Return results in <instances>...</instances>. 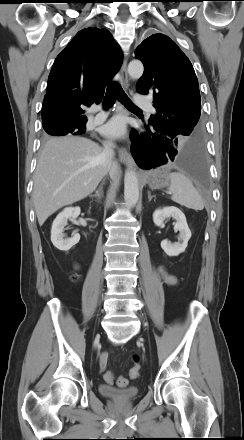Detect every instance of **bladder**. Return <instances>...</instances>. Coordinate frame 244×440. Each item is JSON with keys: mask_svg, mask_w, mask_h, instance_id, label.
I'll return each instance as SVG.
<instances>
[{"mask_svg": "<svg viewBox=\"0 0 244 440\" xmlns=\"http://www.w3.org/2000/svg\"><path fill=\"white\" fill-rule=\"evenodd\" d=\"M99 392L104 397L117 403L132 402L139 395V390L136 387L117 389L106 384H101L99 386Z\"/></svg>", "mask_w": 244, "mask_h": 440, "instance_id": "1", "label": "bladder"}]
</instances>
